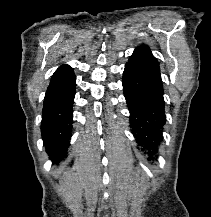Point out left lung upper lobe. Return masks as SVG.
Returning <instances> with one entry per match:
<instances>
[{
  "mask_svg": "<svg viewBox=\"0 0 211 217\" xmlns=\"http://www.w3.org/2000/svg\"><path fill=\"white\" fill-rule=\"evenodd\" d=\"M127 64L143 71L162 85L159 64L148 46L136 48Z\"/></svg>",
  "mask_w": 211,
  "mask_h": 217,
  "instance_id": "left-lung-upper-lobe-1",
  "label": "left lung upper lobe"
}]
</instances>
